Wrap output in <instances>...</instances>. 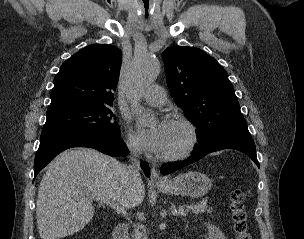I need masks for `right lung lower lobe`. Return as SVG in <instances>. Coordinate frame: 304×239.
Masks as SVG:
<instances>
[{"mask_svg": "<svg viewBox=\"0 0 304 239\" xmlns=\"http://www.w3.org/2000/svg\"><path fill=\"white\" fill-rule=\"evenodd\" d=\"M72 147H90L112 157L128 153V149L121 138L83 132L41 135L40 146L34 162V177L59 153ZM141 167L148 177L149 165L142 161Z\"/></svg>", "mask_w": 304, "mask_h": 239, "instance_id": "obj_1", "label": "right lung lower lobe"}]
</instances>
